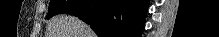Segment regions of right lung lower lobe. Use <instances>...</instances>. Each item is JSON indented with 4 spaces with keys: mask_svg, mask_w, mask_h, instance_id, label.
I'll return each instance as SVG.
<instances>
[{
    "mask_svg": "<svg viewBox=\"0 0 219 37\" xmlns=\"http://www.w3.org/2000/svg\"><path fill=\"white\" fill-rule=\"evenodd\" d=\"M146 11L145 0H81L64 13L90 24L99 37H140Z\"/></svg>",
    "mask_w": 219,
    "mask_h": 37,
    "instance_id": "98d812e1",
    "label": "right lung lower lobe"
}]
</instances>
